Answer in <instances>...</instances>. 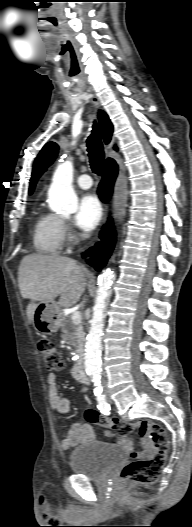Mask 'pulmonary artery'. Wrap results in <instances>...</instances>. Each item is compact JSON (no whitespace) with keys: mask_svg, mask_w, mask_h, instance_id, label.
Here are the masks:
<instances>
[{"mask_svg":"<svg viewBox=\"0 0 192 527\" xmlns=\"http://www.w3.org/2000/svg\"><path fill=\"white\" fill-rule=\"evenodd\" d=\"M77 183L82 189H89L93 185L92 178L88 174H82L77 178Z\"/></svg>","mask_w":192,"mask_h":527,"instance_id":"obj_1","label":"pulmonary artery"}]
</instances>
